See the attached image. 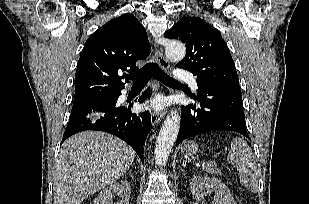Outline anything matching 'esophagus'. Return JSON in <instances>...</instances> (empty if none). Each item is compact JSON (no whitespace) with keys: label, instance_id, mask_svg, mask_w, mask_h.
<instances>
[{"label":"esophagus","instance_id":"obj_1","mask_svg":"<svg viewBox=\"0 0 309 204\" xmlns=\"http://www.w3.org/2000/svg\"><path fill=\"white\" fill-rule=\"evenodd\" d=\"M161 38L156 39V42L158 44L161 43ZM155 57H156V61L157 63L164 69V70H169L170 68V64L169 61L164 57L163 53L159 50L156 49L155 50ZM163 93H167L166 90H163ZM163 117V114L158 112V111H152L151 112V123L153 126H155L156 124L159 123V121L161 120V118Z\"/></svg>","mask_w":309,"mask_h":204}]
</instances>
